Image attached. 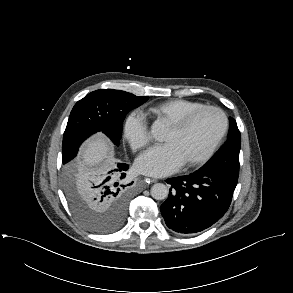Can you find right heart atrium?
Wrapping results in <instances>:
<instances>
[{
  "label": "right heart atrium",
  "mask_w": 293,
  "mask_h": 293,
  "mask_svg": "<svg viewBox=\"0 0 293 293\" xmlns=\"http://www.w3.org/2000/svg\"><path fill=\"white\" fill-rule=\"evenodd\" d=\"M122 137L134 151L150 142V133L144 115L138 111H130L122 123Z\"/></svg>",
  "instance_id": "obj_1"
}]
</instances>
